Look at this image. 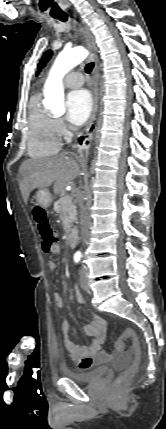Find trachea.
Instances as JSON below:
<instances>
[{
	"label": "trachea",
	"instance_id": "obj_1",
	"mask_svg": "<svg viewBox=\"0 0 166 429\" xmlns=\"http://www.w3.org/2000/svg\"><path fill=\"white\" fill-rule=\"evenodd\" d=\"M51 16L53 17V18H55V19H59L60 21H63V22H65V21H67L68 20V16H67V14L66 13H64V12H53V13H51ZM94 68V63L93 62H91V63H88L86 66H85V71H86V73H91V71H92V69Z\"/></svg>",
	"mask_w": 166,
	"mask_h": 429
}]
</instances>
